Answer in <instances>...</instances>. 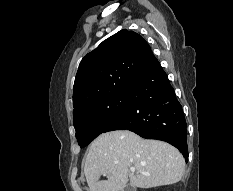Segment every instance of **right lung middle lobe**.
Masks as SVG:
<instances>
[{
    "label": "right lung middle lobe",
    "mask_w": 233,
    "mask_h": 191,
    "mask_svg": "<svg viewBox=\"0 0 233 191\" xmlns=\"http://www.w3.org/2000/svg\"><path fill=\"white\" fill-rule=\"evenodd\" d=\"M129 103L128 94L111 97L73 115L76 138L81 148L87 146L114 119L121 115Z\"/></svg>",
    "instance_id": "1"
}]
</instances>
